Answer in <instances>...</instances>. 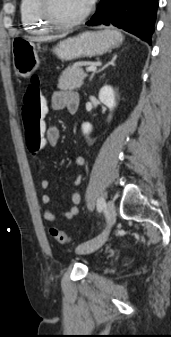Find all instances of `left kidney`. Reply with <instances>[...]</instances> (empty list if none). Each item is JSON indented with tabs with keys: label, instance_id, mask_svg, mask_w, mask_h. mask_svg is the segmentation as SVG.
I'll return each mask as SVG.
<instances>
[{
	"label": "left kidney",
	"instance_id": "1",
	"mask_svg": "<svg viewBox=\"0 0 171 337\" xmlns=\"http://www.w3.org/2000/svg\"><path fill=\"white\" fill-rule=\"evenodd\" d=\"M99 100L109 108L110 111L114 109L116 106V101H115V94L114 90L111 86H104L101 88L99 92ZM109 119H111V115L109 116ZM92 131V125L90 123H83L82 124V132L84 135H89V133Z\"/></svg>",
	"mask_w": 171,
	"mask_h": 337
}]
</instances>
